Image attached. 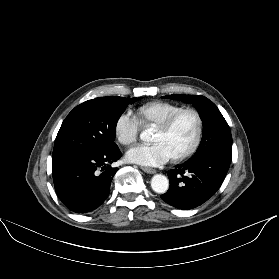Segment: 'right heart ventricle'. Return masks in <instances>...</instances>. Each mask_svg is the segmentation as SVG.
<instances>
[{"mask_svg":"<svg viewBox=\"0 0 279 279\" xmlns=\"http://www.w3.org/2000/svg\"><path fill=\"white\" fill-rule=\"evenodd\" d=\"M183 107L166 101H153L139 106L136 110L144 127L156 128L166 118Z\"/></svg>","mask_w":279,"mask_h":279,"instance_id":"e07e8e85","label":"right heart ventricle"}]
</instances>
